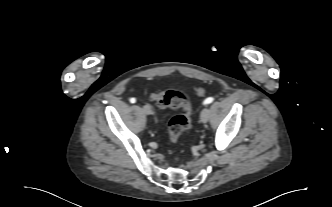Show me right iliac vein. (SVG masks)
Segmentation results:
<instances>
[{
    "instance_id": "right-iliac-vein-1",
    "label": "right iliac vein",
    "mask_w": 332,
    "mask_h": 207,
    "mask_svg": "<svg viewBox=\"0 0 332 207\" xmlns=\"http://www.w3.org/2000/svg\"><path fill=\"white\" fill-rule=\"evenodd\" d=\"M143 112H144L145 114L149 115V114H151L152 109H151V107H150L149 105H144V106H143Z\"/></svg>"
}]
</instances>
